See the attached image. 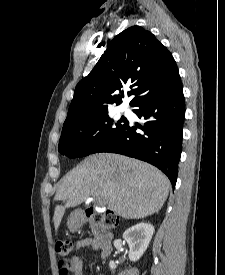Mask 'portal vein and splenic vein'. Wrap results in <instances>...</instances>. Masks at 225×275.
Listing matches in <instances>:
<instances>
[{
	"label": "portal vein and splenic vein",
	"mask_w": 225,
	"mask_h": 275,
	"mask_svg": "<svg viewBox=\"0 0 225 275\" xmlns=\"http://www.w3.org/2000/svg\"><path fill=\"white\" fill-rule=\"evenodd\" d=\"M88 200H89V201H92L93 199H92V198H89Z\"/></svg>",
	"instance_id": "portal-vein-and-splenic-vein-1"
}]
</instances>
